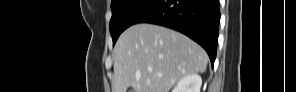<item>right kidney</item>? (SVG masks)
<instances>
[{
    "instance_id": "ca27d5eb",
    "label": "right kidney",
    "mask_w": 296,
    "mask_h": 92,
    "mask_svg": "<svg viewBox=\"0 0 296 92\" xmlns=\"http://www.w3.org/2000/svg\"><path fill=\"white\" fill-rule=\"evenodd\" d=\"M201 85V76L190 74L180 79L172 92H200Z\"/></svg>"
}]
</instances>
